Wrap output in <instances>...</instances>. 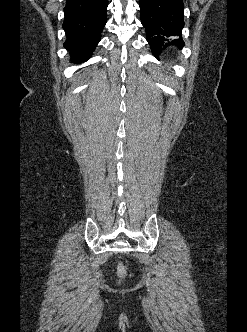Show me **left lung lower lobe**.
Returning a JSON list of instances; mask_svg holds the SVG:
<instances>
[{
  "label": "left lung lower lobe",
  "instance_id": "obj_1",
  "mask_svg": "<svg viewBox=\"0 0 247 332\" xmlns=\"http://www.w3.org/2000/svg\"><path fill=\"white\" fill-rule=\"evenodd\" d=\"M139 6L141 23L154 56L170 45H184L182 38H167L181 35L184 27L183 0H140Z\"/></svg>",
  "mask_w": 247,
  "mask_h": 332
}]
</instances>
